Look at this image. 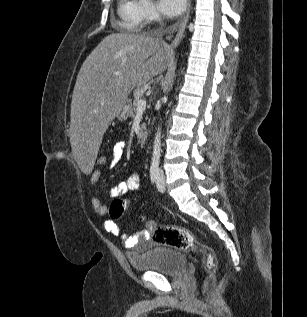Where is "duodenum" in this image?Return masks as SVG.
<instances>
[{"label": "duodenum", "mask_w": 307, "mask_h": 317, "mask_svg": "<svg viewBox=\"0 0 307 317\" xmlns=\"http://www.w3.org/2000/svg\"><path fill=\"white\" fill-rule=\"evenodd\" d=\"M138 140L141 144H145L146 140H147V135L146 133H140L138 135Z\"/></svg>", "instance_id": "duodenum-1"}]
</instances>
